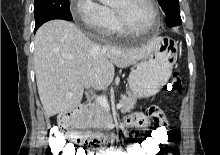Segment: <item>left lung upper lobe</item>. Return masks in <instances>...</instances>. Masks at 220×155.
I'll use <instances>...</instances> for the list:
<instances>
[{"mask_svg": "<svg viewBox=\"0 0 220 155\" xmlns=\"http://www.w3.org/2000/svg\"><path fill=\"white\" fill-rule=\"evenodd\" d=\"M159 5L167 15L173 13H179V1L178 0H158Z\"/></svg>", "mask_w": 220, "mask_h": 155, "instance_id": "obj_1", "label": "left lung upper lobe"}]
</instances>
